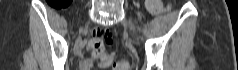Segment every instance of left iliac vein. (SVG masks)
Masks as SVG:
<instances>
[{
  "instance_id": "1",
  "label": "left iliac vein",
  "mask_w": 238,
  "mask_h": 70,
  "mask_svg": "<svg viewBox=\"0 0 238 70\" xmlns=\"http://www.w3.org/2000/svg\"><path fill=\"white\" fill-rule=\"evenodd\" d=\"M123 24H124V26H128L127 21H124Z\"/></svg>"
}]
</instances>
